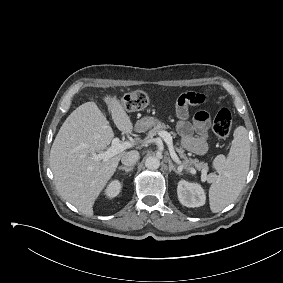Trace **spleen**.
<instances>
[{"label":"spleen","instance_id":"3e777b00","mask_svg":"<svg viewBox=\"0 0 283 283\" xmlns=\"http://www.w3.org/2000/svg\"><path fill=\"white\" fill-rule=\"evenodd\" d=\"M233 136L228 156L218 155L214 160L218 175L209 189L210 209L214 213L220 212L238 197L249 170L250 142L247 130L239 126Z\"/></svg>","mask_w":283,"mask_h":283}]
</instances>
